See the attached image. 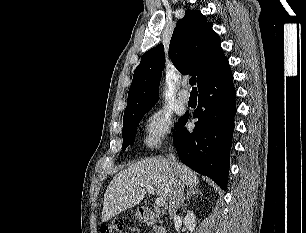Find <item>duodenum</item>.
Segmentation results:
<instances>
[{"mask_svg": "<svg viewBox=\"0 0 306 233\" xmlns=\"http://www.w3.org/2000/svg\"><path fill=\"white\" fill-rule=\"evenodd\" d=\"M139 214L143 223L149 225L156 224L158 226L157 233H167L166 227L161 222H159L156 213L151 208L142 207L139 210Z\"/></svg>", "mask_w": 306, "mask_h": 233, "instance_id": "1", "label": "duodenum"}]
</instances>
